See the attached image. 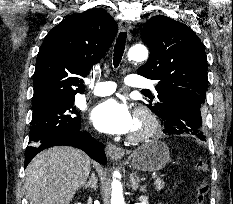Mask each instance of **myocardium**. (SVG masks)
<instances>
[{"mask_svg": "<svg viewBox=\"0 0 233 204\" xmlns=\"http://www.w3.org/2000/svg\"><path fill=\"white\" fill-rule=\"evenodd\" d=\"M135 120L141 124L138 130L131 131L128 139L132 142H139L151 137L158 129L156 116L146 107H138L135 110Z\"/></svg>", "mask_w": 233, "mask_h": 204, "instance_id": "1", "label": "myocardium"}]
</instances>
